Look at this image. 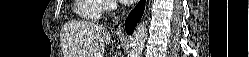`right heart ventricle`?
I'll return each mask as SVG.
<instances>
[{
    "instance_id": "1",
    "label": "right heart ventricle",
    "mask_w": 249,
    "mask_h": 57,
    "mask_svg": "<svg viewBox=\"0 0 249 57\" xmlns=\"http://www.w3.org/2000/svg\"><path fill=\"white\" fill-rule=\"evenodd\" d=\"M102 11L100 0H77L75 12L84 19L97 20Z\"/></svg>"
}]
</instances>
